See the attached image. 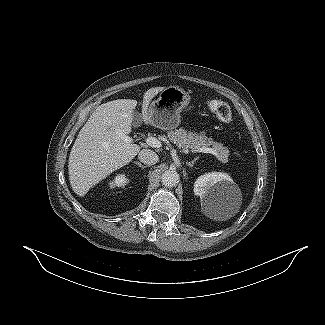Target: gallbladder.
Listing matches in <instances>:
<instances>
[{
  "label": "gallbladder",
  "instance_id": "bac80fb5",
  "mask_svg": "<svg viewBox=\"0 0 325 325\" xmlns=\"http://www.w3.org/2000/svg\"><path fill=\"white\" fill-rule=\"evenodd\" d=\"M132 116H133V126L134 127L139 126L142 121L141 115L138 112L133 111Z\"/></svg>",
  "mask_w": 325,
  "mask_h": 325
}]
</instances>
